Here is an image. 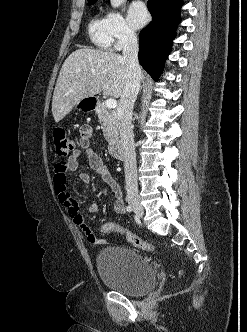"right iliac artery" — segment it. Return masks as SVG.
Listing matches in <instances>:
<instances>
[{
    "mask_svg": "<svg viewBox=\"0 0 247 332\" xmlns=\"http://www.w3.org/2000/svg\"><path fill=\"white\" fill-rule=\"evenodd\" d=\"M126 210H127V212H132V207H131L130 205H128V206L126 207Z\"/></svg>",
    "mask_w": 247,
    "mask_h": 332,
    "instance_id": "82829eb1",
    "label": "right iliac artery"
}]
</instances>
